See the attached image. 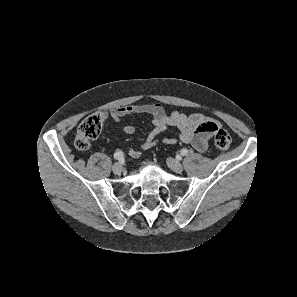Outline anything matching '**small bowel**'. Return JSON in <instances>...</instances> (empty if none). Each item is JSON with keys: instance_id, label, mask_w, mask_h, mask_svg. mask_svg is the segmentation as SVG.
<instances>
[{"instance_id": "1", "label": "small bowel", "mask_w": 297, "mask_h": 297, "mask_svg": "<svg viewBox=\"0 0 297 297\" xmlns=\"http://www.w3.org/2000/svg\"><path fill=\"white\" fill-rule=\"evenodd\" d=\"M139 114L149 115L154 128L141 143V150L131 149L129 154L139 158L142 151L150 150L160 144L172 145L178 140L185 144L192 145L196 150L204 152L207 150L209 139L216 134L220 126L216 120L200 113L185 114L179 111H172L167 114L160 104H131L113 109L110 112L112 120L118 123L122 118ZM168 128L178 130L177 137L159 138V135ZM126 135H132L135 128L131 125L122 127Z\"/></svg>"}]
</instances>
